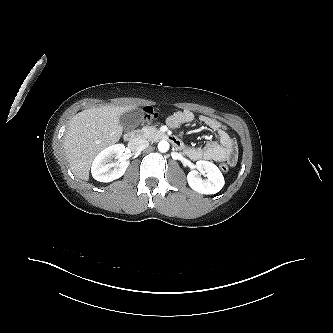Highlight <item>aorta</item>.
<instances>
[{
	"label": "aorta",
	"mask_w": 333,
	"mask_h": 333,
	"mask_svg": "<svg viewBox=\"0 0 333 333\" xmlns=\"http://www.w3.org/2000/svg\"><path fill=\"white\" fill-rule=\"evenodd\" d=\"M169 143L166 140H162L158 143V150L162 153H165L169 150Z\"/></svg>",
	"instance_id": "1"
}]
</instances>
